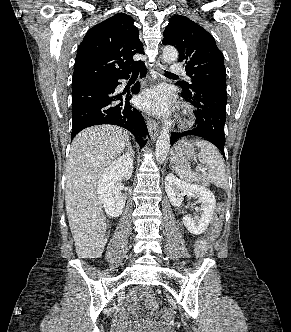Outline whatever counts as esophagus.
<instances>
[{"label": "esophagus", "mask_w": 291, "mask_h": 332, "mask_svg": "<svg viewBox=\"0 0 291 332\" xmlns=\"http://www.w3.org/2000/svg\"><path fill=\"white\" fill-rule=\"evenodd\" d=\"M165 69V62L159 58L156 62L155 72L158 80H163V70ZM148 130L152 139H155L159 132V124L155 120H148Z\"/></svg>", "instance_id": "1"}]
</instances>
